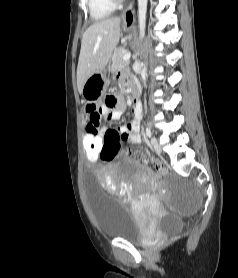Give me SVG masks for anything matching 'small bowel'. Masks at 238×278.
<instances>
[{
	"label": "small bowel",
	"mask_w": 238,
	"mask_h": 278,
	"mask_svg": "<svg viewBox=\"0 0 238 278\" xmlns=\"http://www.w3.org/2000/svg\"><path fill=\"white\" fill-rule=\"evenodd\" d=\"M120 80H123L120 77ZM125 111V105L119 100H104V104L94 105L93 108L87 107L88 122L86 125L85 137H105L104 144L116 141L129 142L138 144L141 141L140 136V117L141 113L134 110V118L128 124L119 128V130L109 129L101 126L103 119L116 120L119 119ZM94 163V162H90ZM141 165L146 166L144 161Z\"/></svg>",
	"instance_id": "obj_1"
}]
</instances>
